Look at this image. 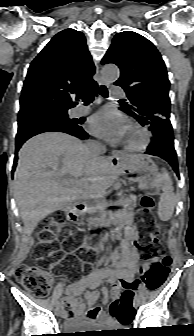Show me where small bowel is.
I'll return each instance as SVG.
<instances>
[{
  "label": "small bowel",
  "instance_id": "small-bowel-1",
  "mask_svg": "<svg viewBox=\"0 0 194 336\" xmlns=\"http://www.w3.org/2000/svg\"><path fill=\"white\" fill-rule=\"evenodd\" d=\"M120 219L125 223L124 236L121 242V252L115 251L111 257L113 268H96L66 288L67 295L63 304L71 306L69 318L74 321L85 320L88 327L103 322L108 325L116 324V321L102 316L99 308L95 307V303L100 296L98 289H101L106 303L108 294L104 284L113 282L130 283L138 270L139 255L136 249L138 232L131 224V211L123 213ZM146 263L150 264L149 261ZM82 294L84 295V301L79 298ZM82 326L85 327V325Z\"/></svg>",
  "mask_w": 194,
  "mask_h": 336
}]
</instances>
